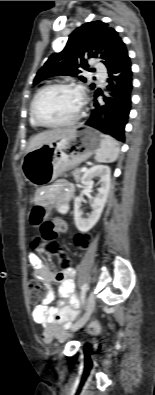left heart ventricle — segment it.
Here are the masks:
<instances>
[{
    "label": "left heart ventricle",
    "instance_id": "left-heart-ventricle-1",
    "mask_svg": "<svg viewBox=\"0 0 155 395\" xmlns=\"http://www.w3.org/2000/svg\"><path fill=\"white\" fill-rule=\"evenodd\" d=\"M80 106V95L69 88H52L43 92L36 102V115L44 123L71 119Z\"/></svg>",
    "mask_w": 155,
    "mask_h": 395
}]
</instances>
